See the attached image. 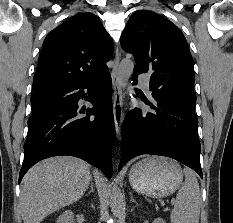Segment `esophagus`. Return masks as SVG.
<instances>
[{"mask_svg":"<svg viewBox=\"0 0 233 223\" xmlns=\"http://www.w3.org/2000/svg\"><path fill=\"white\" fill-rule=\"evenodd\" d=\"M120 63V51L118 47L115 51L114 65L111 71V79L113 85V114L116 134L119 137L121 125L123 121V94L122 88L118 77V67Z\"/></svg>","mask_w":233,"mask_h":223,"instance_id":"34e87169","label":"esophagus"}]
</instances>
